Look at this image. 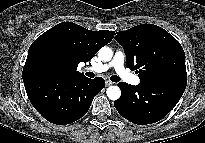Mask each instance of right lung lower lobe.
Wrapping results in <instances>:
<instances>
[{
    "mask_svg": "<svg viewBox=\"0 0 205 143\" xmlns=\"http://www.w3.org/2000/svg\"><path fill=\"white\" fill-rule=\"evenodd\" d=\"M22 76L31 104L46 120L58 125L83 117L94 96L105 87L101 77H68L44 69L27 71Z\"/></svg>",
    "mask_w": 205,
    "mask_h": 143,
    "instance_id": "1",
    "label": "right lung lower lobe"
}]
</instances>
